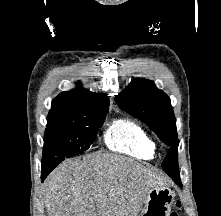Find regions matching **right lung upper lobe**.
<instances>
[{"label": "right lung upper lobe", "instance_id": "cb5924a9", "mask_svg": "<svg viewBox=\"0 0 221 216\" xmlns=\"http://www.w3.org/2000/svg\"><path fill=\"white\" fill-rule=\"evenodd\" d=\"M108 107L107 94L92 93L83 88L62 92L52 102L47 125L69 123L82 116L105 113Z\"/></svg>", "mask_w": 221, "mask_h": 216}]
</instances>
